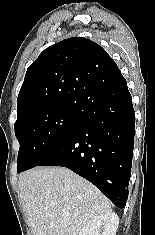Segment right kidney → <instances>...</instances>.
<instances>
[{"mask_svg": "<svg viewBox=\"0 0 155 235\" xmlns=\"http://www.w3.org/2000/svg\"><path fill=\"white\" fill-rule=\"evenodd\" d=\"M119 218L114 212L103 214L86 224L79 235H116Z\"/></svg>", "mask_w": 155, "mask_h": 235, "instance_id": "obj_1", "label": "right kidney"}]
</instances>
